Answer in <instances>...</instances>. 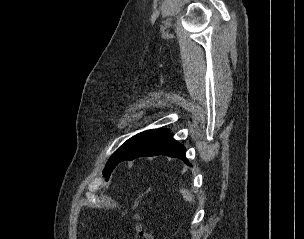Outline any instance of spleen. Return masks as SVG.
Instances as JSON below:
<instances>
[{
  "label": "spleen",
  "instance_id": "3e777b00",
  "mask_svg": "<svg viewBox=\"0 0 304 239\" xmlns=\"http://www.w3.org/2000/svg\"><path fill=\"white\" fill-rule=\"evenodd\" d=\"M180 193L182 194L185 201L190 203L194 202V196L187 189H180Z\"/></svg>",
  "mask_w": 304,
  "mask_h": 239
}]
</instances>
